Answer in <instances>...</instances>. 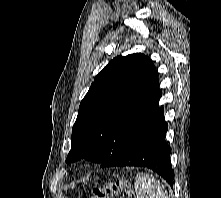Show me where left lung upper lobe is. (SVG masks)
Segmentation results:
<instances>
[{
  "instance_id": "5c2ea615",
  "label": "left lung upper lobe",
  "mask_w": 221,
  "mask_h": 198,
  "mask_svg": "<svg viewBox=\"0 0 221 198\" xmlns=\"http://www.w3.org/2000/svg\"><path fill=\"white\" fill-rule=\"evenodd\" d=\"M161 95L158 73L147 56L115 57L81 101L66 162L84 158L101 164L151 116Z\"/></svg>"
}]
</instances>
